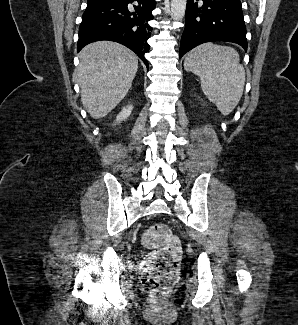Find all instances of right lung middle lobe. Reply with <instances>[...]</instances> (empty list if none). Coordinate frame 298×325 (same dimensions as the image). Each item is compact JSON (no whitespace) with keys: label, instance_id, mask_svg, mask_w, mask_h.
I'll return each mask as SVG.
<instances>
[{"label":"right lung middle lobe","instance_id":"obj_1","mask_svg":"<svg viewBox=\"0 0 298 325\" xmlns=\"http://www.w3.org/2000/svg\"><path fill=\"white\" fill-rule=\"evenodd\" d=\"M94 1H100V0H88V2H94Z\"/></svg>","mask_w":298,"mask_h":325}]
</instances>
